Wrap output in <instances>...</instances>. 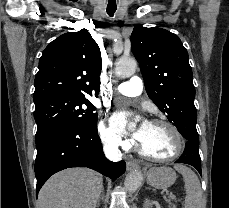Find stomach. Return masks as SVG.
<instances>
[{"mask_svg":"<svg viewBox=\"0 0 229 208\" xmlns=\"http://www.w3.org/2000/svg\"><path fill=\"white\" fill-rule=\"evenodd\" d=\"M147 184L157 188V190H166L174 184L177 176L171 168L167 166H161V168H150V170H144L143 174Z\"/></svg>","mask_w":229,"mask_h":208,"instance_id":"stomach-1","label":"stomach"}]
</instances>
